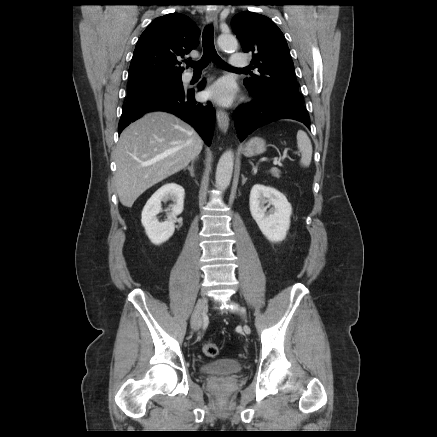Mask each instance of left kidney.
<instances>
[{
    "instance_id": "obj_1",
    "label": "left kidney",
    "mask_w": 437,
    "mask_h": 437,
    "mask_svg": "<svg viewBox=\"0 0 437 437\" xmlns=\"http://www.w3.org/2000/svg\"><path fill=\"white\" fill-rule=\"evenodd\" d=\"M273 209L266 212L268 206ZM250 212L263 235L271 242L283 241L290 227L292 206L275 188L255 184L250 192Z\"/></svg>"
}]
</instances>
